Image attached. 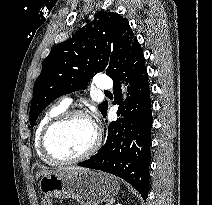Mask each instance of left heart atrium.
<instances>
[{
    "label": "left heart atrium",
    "instance_id": "39dd6f15",
    "mask_svg": "<svg viewBox=\"0 0 212 205\" xmlns=\"http://www.w3.org/2000/svg\"><path fill=\"white\" fill-rule=\"evenodd\" d=\"M91 125L93 126V128L95 129V131L98 130V121L96 118H93V119H89Z\"/></svg>",
    "mask_w": 212,
    "mask_h": 205
}]
</instances>
